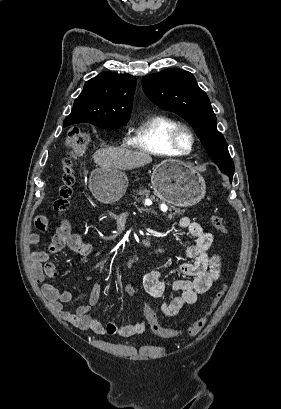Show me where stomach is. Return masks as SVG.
<instances>
[{
  "label": "stomach",
  "instance_id": "obj_1",
  "mask_svg": "<svg viewBox=\"0 0 281 409\" xmlns=\"http://www.w3.org/2000/svg\"><path fill=\"white\" fill-rule=\"evenodd\" d=\"M152 188L162 200L175 207H192L203 198L206 184L198 170L183 160H162L151 174ZM128 178L119 168H95L89 188L100 202H116L126 192Z\"/></svg>",
  "mask_w": 281,
  "mask_h": 409
}]
</instances>
